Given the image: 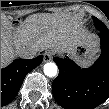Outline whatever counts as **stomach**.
Wrapping results in <instances>:
<instances>
[{"instance_id":"obj_1","label":"stomach","mask_w":109,"mask_h":109,"mask_svg":"<svg viewBox=\"0 0 109 109\" xmlns=\"http://www.w3.org/2000/svg\"><path fill=\"white\" fill-rule=\"evenodd\" d=\"M82 67L88 66L97 57V49L89 45H77L67 52Z\"/></svg>"}]
</instances>
